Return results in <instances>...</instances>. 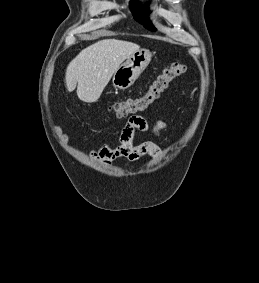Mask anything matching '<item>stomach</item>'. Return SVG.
I'll return each instance as SVG.
<instances>
[{
  "mask_svg": "<svg viewBox=\"0 0 259 283\" xmlns=\"http://www.w3.org/2000/svg\"><path fill=\"white\" fill-rule=\"evenodd\" d=\"M151 56V53L144 49L131 54L113 74V85L122 90L129 88L148 66Z\"/></svg>",
  "mask_w": 259,
  "mask_h": 283,
  "instance_id": "0dacf381",
  "label": "stomach"
}]
</instances>
